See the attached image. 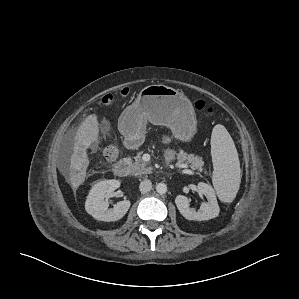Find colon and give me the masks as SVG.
Here are the masks:
<instances>
[{
  "label": "colon",
  "mask_w": 299,
  "mask_h": 299,
  "mask_svg": "<svg viewBox=\"0 0 299 299\" xmlns=\"http://www.w3.org/2000/svg\"><path fill=\"white\" fill-rule=\"evenodd\" d=\"M128 90L125 89L122 91L123 95H127ZM101 102L104 105H110L114 102V96L112 94H107L102 97ZM195 108L199 111H205L206 113H213L214 109L212 107H208L205 101L197 100L195 102ZM119 155V149L115 145H109L105 148L103 156L106 162H111L115 160Z\"/></svg>",
  "instance_id": "obj_1"
}]
</instances>
